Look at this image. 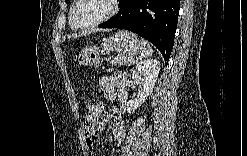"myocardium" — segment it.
<instances>
[{
    "mask_svg": "<svg viewBox=\"0 0 247 156\" xmlns=\"http://www.w3.org/2000/svg\"><path fill=\"white\" fill-rule=\"evenodd\" d=\"M81 1H83V0H77L74 2L73 6L71 8V11H70V15H69L70 25L72 28H74L76 30L89 29V28L98 26V25L104 23L105 21L109 20L111 17H113L116 14L117 9H118V3L116 0H107L110 4V9L104 16H102L101 18H99V19H97L91 23L80 25L74 21V14H75V11H76V9H77V7Z\"/></svg>",
    "mask_w": 247,
    "mask_h": 156,
    "instance_id": "1",
    "label": "myocardium"
}]
</instances>
